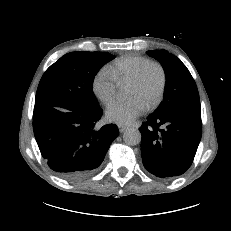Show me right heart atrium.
I'll return each instance as SVG.
<instances>
[{"instance_id":"d8ad5b80","label":"right heart atrium","mask_w":231,"mask_h":231,"mask_svg":"<svg viewBox=\"0 0 231 231\" xmlns=\"http://www.w3.org/2000/svg\"><path fill=\"white\" fill-rule=\"evenodd\" d=\"M92 88L96 97L107 105L115 99L118 85L108 69L105 68L95 75Z\"/></svg>"}]
</instances>
